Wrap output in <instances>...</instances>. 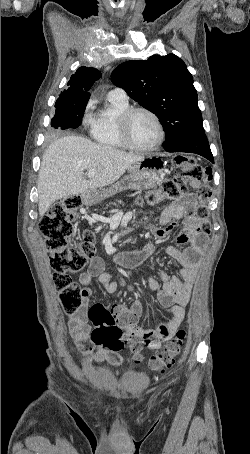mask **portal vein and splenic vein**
<instances>
[{"instance_id": "obj_1", "label": "portal vein and splenic vein", "mask_w": 250, "mask_h": 454, "mask_svg": "<svg viewBox=\"0 0 250 454\" xmlns=\"http://www.w3.org/2000/svg\"><path fill=\"white\" fill-rule=\"evenodd\" d=\"M95 174H96V170L92 169V170H89V171L86 173V176H87L88 178H92V177L95 176ZM120 214L122 215V213H120Z\"/></svg>"}]
</instances>
